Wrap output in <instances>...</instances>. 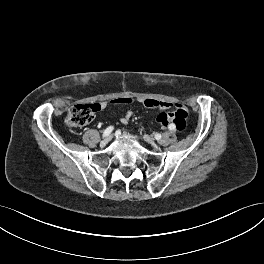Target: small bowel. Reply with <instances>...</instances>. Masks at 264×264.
Returning a JSON list of instances; mask_svg holds the SVG:
<instances>
[{
  "label": "small bowel",
  "mask_w": 264,
  "mask_h": 264,
  "mask_svg": "<svg viewBox=\"0 0 264 264\" xmlns=\"http://www.w3.org/2000/svg\"><path fill=\"white\" fill-rule=\"evenodd\" d=\"M132 100L130 99L129 102L123 103V102H116L115 104H128L131 103ZM137 102H139L140 104H142L145 107L148 108H157V109H161V110H166L169 109L173 106L172 103L167 102V101H159V100H155V99H137ZM100 106L102 108L107 106L106 102H102L100 103ZM132 117V112L131 111H127L125 113V115L123 117H121L120 121L122 124H127L130 120V118Z\"/></svg>",
  "instance_id": "obj_1"
}]
</instances>
